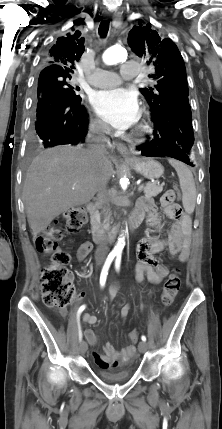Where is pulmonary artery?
<instances>
[{"instance_id": "1", "label": "pulmonary artery", "mask_w": 222, "mask_h": 429, "mask_svg": "<svg viewBox=\"0 0 222 429\" xmlns=\"http://www.w3.org/2000/svg\"><path fill=\"white\" fill-rule=\"evenodd\" d=\"M139 64L133 61L124 62L121 65L120 75L103 70L95 69L92 76L87 78V81L98 88L112 87L117 85L121 78L123 79H132L139 74Z\"/></svg>"}]
</instances>
